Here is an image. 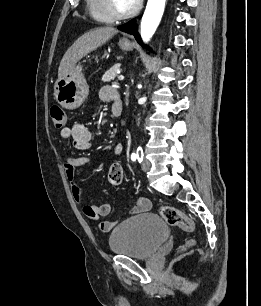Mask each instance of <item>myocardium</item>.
<instances>
[{
    "label": "myocardium",
    "instance_id": "obj_1",
    "mask_svg": "<svg viewBox=\"0 0 261 306\" xmlns=\"http://www.w3.org/2000/svg\"><path fill=\"white\" fill-rule=\"evenodd\" d=\"M141 4H142L141 0H138L136 5L131 10L127 12H120L116 8L114 0H105V6H106L108 13L111 15L113 19H117V20L127 19V18L134 16L140 10Z\"/></svg>",
    "mask_w": 261,
    "mask_h": 306
}]
</instances>
